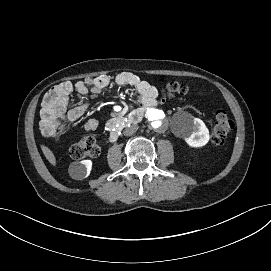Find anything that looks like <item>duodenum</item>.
<instances>
[{"label":"duodenum","mask_w":271,"mask_h":271,"mask_svg":"<svg viewBox=\"0 0 271 271\" xmlns=\"http://www.w3.org/2000/svg\"><path fill=\"white\" fill-rule=\"evenodd\" d=\"M143 114H144V112L142 109H136L131 114H129V116L127 117V121L131 124H136L139 121H141ZM118 136H119L118 131L112 130L110 132L109 139H110V141L113 142V141L117 140Z\"/></svg>","instance_id":"duodenum-1"}]
</instances>
